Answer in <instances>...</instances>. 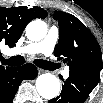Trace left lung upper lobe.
Wrapping results in <instances>:
<instances>
[{
    "label": "left lung upper lobe",
    "mask_w": 103,
    "mask_h": 103,
    "mask_svg": "<svg viewBox=\"0 0 103 103\" xmlns=\"http://www.w3.org/2000/svg\"><path fill=\"white\" fill-rule=\"evenodd\" d=\"M54 19L59 25V41L55 56L63 59L70 72L103 69L100 46L92 33L75 16L56 11Z\"/></svg>",
    "instance_id": "1"
}]
</instances>
